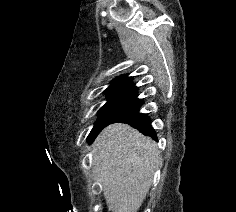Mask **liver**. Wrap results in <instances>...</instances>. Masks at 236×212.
<instances>
[{
  "instance_id": "1",
  "label": "liver",
  "mask_w": 236,
  "mask_h": 212,
  "mask_svg": "<svg viewBox=\"0 0 236 212\" xmlns=\"http://www.w3.org/2000/svg\"><path fill=\"white\" fill-rule=\"evenodd\" d=\"M156 143L129 125L105 128L93 145L97 183L112 212H137L159 163Z\"/></svg>"
}]
</instances>
